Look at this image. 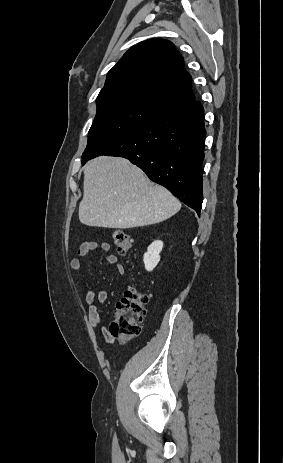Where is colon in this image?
<instances>
[{"instance_id":"obj_1","label":"colon","mask_w":283,"mask_h":463,"mask_svg":"<svg viewBox=\"0 0 283 463\" xmlns=\"http://www.w3.org/2000/svg\"><path fill=\"white\" fill-rule=\"evenodd\" d=\"M112 241L121 255L131 252L132 239L125 231L115 229ZM148 299L149 295L136 287L130 286L125 290L110 324V333L117 341L125 343L139 335Z\"/></svg>"}]
</instances>
